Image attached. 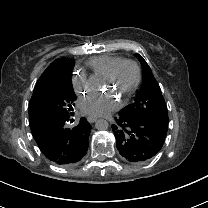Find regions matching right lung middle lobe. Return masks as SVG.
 Returning a JSON list of instances; mask_svg holds the SVG:
<instances>
[{"label": "right lung middle lobe", "instance_id": "dd1d6c3e", "mask_svg": "<svg viewBox=\"0 0 208 208\" xmlns=\"http://www.w3.org/2000/svg\"><path fill=\"white\" fill-rule=\"evenodd\" d=\"M73 66L74 61L67 58L55 66L35 88L29 104L30 120L73 114L76 99L71 81Z\"/></svg>", "mask_w": 208, "mask_h": 208}]
</instances>
